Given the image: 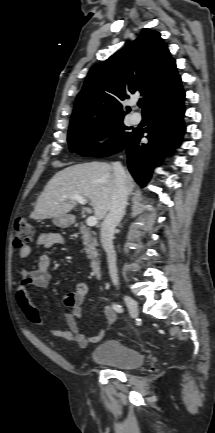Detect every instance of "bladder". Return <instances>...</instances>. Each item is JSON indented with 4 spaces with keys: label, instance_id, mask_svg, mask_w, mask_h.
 Returning <instances> with one entry per match:
<instances>
[{
    "label": "bladder",
    "instance_id": "1",
    "mask_svg": "<svg viewBox=\"0 0 215 433\" xmlns=\"http://www.w3.org/2000/svg\"><path fill=\"white\" fill-rule=\"evenodd\" d=\"M89 359L121 370L137 369L144 363V356L139 350L116 339L100 343L92 350Z\"/></svg>",
    "mask_w": 215,
    "mask_h": 433
}]
</instances>
